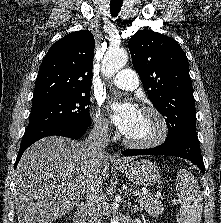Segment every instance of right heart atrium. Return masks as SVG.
<instances>
[{
    "label": "right heart atrium",
    "mask_w": 221,
    "mask_h": 223,
    "mask_svg": "<svg viewBox=\"0 0 221 223\" xmlns=\"http://www.w3.org/2000/svg\"><path fill=\"white\" fill-rule=\"evenodd\" d=\"M92 119L96 132L100 134H107L109 132V123L99 112H95Z\"/></svg>",
    "instance_id": "d8ad5b80"
}]
</instances>
